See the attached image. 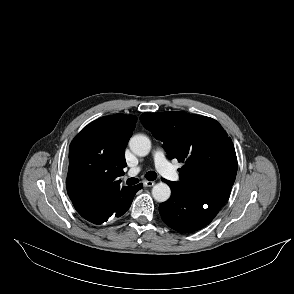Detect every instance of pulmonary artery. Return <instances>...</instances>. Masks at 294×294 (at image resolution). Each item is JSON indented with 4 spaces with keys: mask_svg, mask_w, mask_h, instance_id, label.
Masks as SVG:
<instances>
[{
    "mask_svg": "<svg viewBox=\"0 0 294 294\" xmlns=\"http://www.w3.org/2000/svg\"><path fill=\"white\" fill-rule=\"evenodd\" d=\"M154 164L159 172L166 175L170 179L175 177V172L172 169L170 163L167 161L165 157V153L163 150L158 149L154 152ZM140 167H134L128 171L129 176H135L139 173Z\"/></svg>",
    "mask_w": 294,
    "mask_h": 294,
    "instance_id": "1",
    "label": "pulmonary artery"
}]
</instances>
